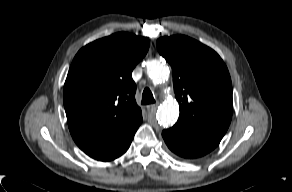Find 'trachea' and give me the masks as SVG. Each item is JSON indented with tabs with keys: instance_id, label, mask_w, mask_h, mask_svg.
<instances>
[{
	"instance_id": "obj_1",
	"label": "trachea",
	"mask_w": 292,
	"mask_h": 192,
	"mask_svg": "<svg viewBox=\"0 0 292 192\" xmlns=\"http://www.w3.org/2000/svg\"><path fill=\"white\" fill-rule=\"evenodd\" d=\"M155 103L152 92L149 88H145L142 94V104H152Z\"/></svg>"
}]
</instances>
